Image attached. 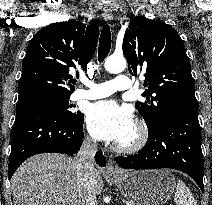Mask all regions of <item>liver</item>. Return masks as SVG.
Instances as JSON below:
<instances>
[{
  "label": "liver",
  "mask_w": 212,
  "mask_h": 205,
  "mask_svg": "<svg viewBox=\"0 0 212 205\" xmlns=\"http://www.w3.org/2000/svg\"><path fill=\"white\" fill-rule=\"evenodd\" d=\"M103 186L95 169V195ZM11 190L14 205H80L75 159L58 153L35 155L16 170Z\"/></svg>",
  "instance_id": "1"
}]
</instances>
